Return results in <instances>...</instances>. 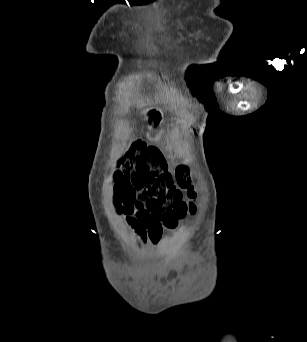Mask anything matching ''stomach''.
Wrapping results in <instances>:
<instances>
[{"label": "stomach", "mask_w": 307, "mask_h": 342, "mask_svg": "<svg viewBox=\"0 0 307 342\" xmlns=\"http://www.w3.org/2000/svg\"><path fill=\"white\" fill-rule=\"evenodd\" d=\"M146 119L153 123H159L162 121V113L160 110L152 108L144 112Z\"/></svg>", "instance_id": "obj_1"}]
</instances>
